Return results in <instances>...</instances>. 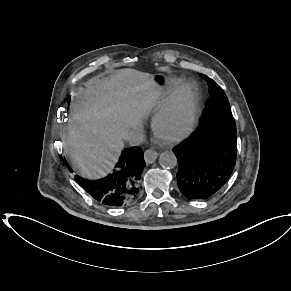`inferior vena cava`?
Instances as JSON below:
<instances>
[{
	"instance_id": "1",
	"label": "inferior vena cava",
	"mask_w": 291,
	"mask_h": 291,
	"mask_svg": "<svg viewBox=\"0 0 291 291\" xmlns=\"http://www.w3.org/2000/svg\"><path fill=\"white\" fill-rule=\"evenodd\" d=\"M123 138L130 146H139L144 142V133L142 127H136L128 131Z\"/></svg>"
}]
</instances>
